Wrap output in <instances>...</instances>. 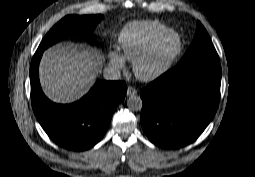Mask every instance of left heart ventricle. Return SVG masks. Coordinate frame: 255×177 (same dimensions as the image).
<instances>
[{
	"label": "left heart ventricle",
	"mask_w": 255,
	"mask_h": 177,
	"mask_svg": "<svg viewBox=\"0 0 255 177\" xmlns=\"http://www.w3.org/2000/svg\"><path fill=\"white\" fill-rule=\"evenodd\" d=\"M177 39L175 36L165 38L156 50L141 65V71L149 73L159 67L167 56L175 49Z\"/></svg>",
	"instance_id": "1"
}]
</instances>
